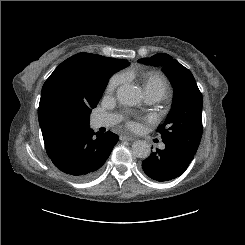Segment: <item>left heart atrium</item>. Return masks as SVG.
Returning a JSON list of instances; mask_svg holds the SVG:
<instances>
[{"label":"left heart atrium","instance_id":"1","mask_svg":"<svg viewBox=\"0 0 245 245\" xmlns=\"http://www.w3.org/2000/svg\"><path fill=\"white\" fill-rule=\"evenodd\" d=\"M128 126H129L130 128H133V129L137 128V124L134 123V122H129V123H128Z\"/></svg>","mask_w":245,"mask_h":245}]
</instances>
